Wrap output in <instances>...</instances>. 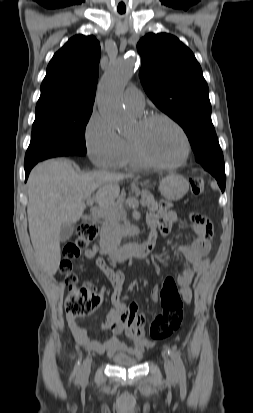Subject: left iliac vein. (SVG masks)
<instances>
[{"label": "left iliac vein", "instance_id": "left-iliac-vein-1", "mask_svg": "<svg viewBox=\"0 0 253 413\" xmlns=\"http://www.w3.org/2000/svg\"><path fill=\"white\" fill-rule=\"evenodd\" d=\"M164 368L168 378L175 379L177 377L176 367L166 355H164Z\"/></svg>", "mask_w": 253, "mask_h": 413}]
</instances>
